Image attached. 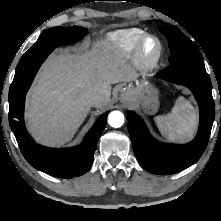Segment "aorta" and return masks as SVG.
Masks as SVG:
<instances>
[{"label":"aorta","instance_id":"1","mask_svg":"<svg viewBox=\"0 0 221 221\" xmlns=\"http://www.w3.org/2000/svg\"><path fill=\"white\" fill-rule=\"evenodd\" d=\"M108 124L111 127L119 128L124 124V115L120 111H112L108 116Z\"/></svg>","mask_w":221,"mask_h":221}]
</instances>
